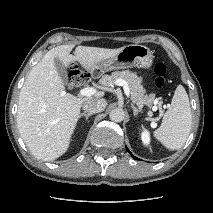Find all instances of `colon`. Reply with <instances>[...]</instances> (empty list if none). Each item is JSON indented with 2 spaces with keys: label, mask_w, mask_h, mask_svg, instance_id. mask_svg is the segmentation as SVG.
Returning <instances> with one entry per match:
<instances>
[{
  "label": "colon",
  "mask_w": 213,
  "mask_h": 213,
  "mask_svg": "<svg viewBox=\"0 0 213 213\" xmlns=\"http://www.w3.org/2000/svg\"><path fill=\"white\" fill-rule=\"evenodd\" d=\"M155 74V85L159 88L165 85V77L167 74V66L160 62L157 63L154 67ZM70 85L73 88H78L88 81V75L84 73L82 70L78 68V66L74 67L73 70L69 74Z\"/></svg>",
  "instance_id": "1"
}]
</instances>
